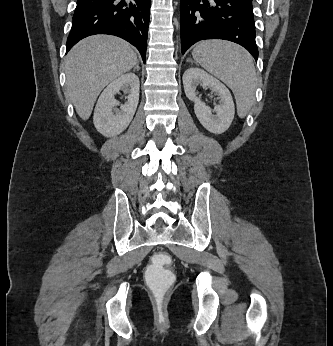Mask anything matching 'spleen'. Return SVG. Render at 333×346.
<instances>
[{
	"instance_id": "spleen-1",
	"label": "spleen",
	"mask_w": 333,
	"mask_h": 346,
	"mask_svg": "<svg viewBox=\"0 0 333 346\" xmlns=\"http://www.w3.org/2000/svg\"><path fill=\"white\" fill-rule=\"evenodd\" d=\"M192 56L209 73L232 90L240 118H244L255 101L256 70L252 56L243 47L222 40L199 42Z\"/></svg>"
}]
</instances>
